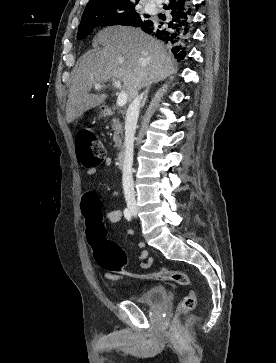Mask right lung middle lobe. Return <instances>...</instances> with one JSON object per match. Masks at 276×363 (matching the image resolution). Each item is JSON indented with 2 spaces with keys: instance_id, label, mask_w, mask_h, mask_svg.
Wrapping results in <instances>:
<instances>
[{
  "instance_id": "obj_1",
  "label": "right lung middle lobe",
  "mask_w": 276,
  "mask_h": 363,
  "mask_svg": "<svg viewBox=\"0 0 276 363\" xmlns=\"http://www.w3.org/2000/svg\"><path fill=\"white\" fill-rule=\"evenodd\" d=\"M136 4L126 1H110L86 7L77 37L84 38L99 26L115 24L140 26L146 16L136 10Z\"/></svg>"
}]
</instances>
